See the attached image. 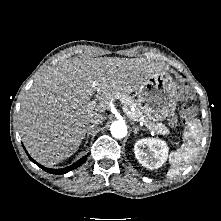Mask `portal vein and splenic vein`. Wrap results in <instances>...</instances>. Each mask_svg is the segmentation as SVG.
<instances>
[{"mask_svg":"<svg viewBox=\"0 0 221 221\" xmlns=\"http://www.w3.org/2000/svg\"><path fill=\"white\" fill-rule=\"evenodd\" d=\"M123 111H124L130 118L133 117L132 114H131V112L129 111V109H128L127 107L123 106Z\"/></svg>","mask_w":221,"mask_h":221,"instance_id":"obj_1","label":"portal vein and splenic vein"}]
</instances>
